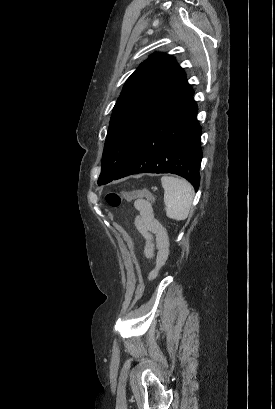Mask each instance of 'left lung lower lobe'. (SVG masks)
<instances>
[{"instance_id":"0a47b994","label":"left lung lower lobe","mask_w":275,"mask_h":409,"mask_svg":"<svg viewBox=\"0 0 275 409\" xmlns=\"http://www.w3.org/2000/svg\"><path fill=\"white\" fill-rule=\"evenodd\" d=\"M193 93L162 115L135 145L113 180L137 173H173L198 189L202 128Z\"/></svg>"}]
</instances>
